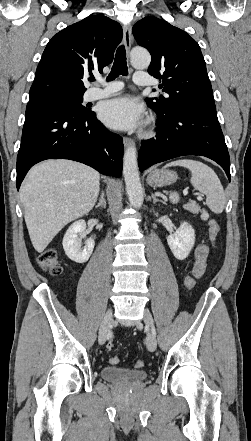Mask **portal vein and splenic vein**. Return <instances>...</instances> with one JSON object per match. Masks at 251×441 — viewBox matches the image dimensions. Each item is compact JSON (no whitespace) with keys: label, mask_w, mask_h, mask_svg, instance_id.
<instances>
[{"label":"portal vein and splenic vein","mask_w":251,"mask_h":441,"mask_svg":"<svg viewBox=\"0 0 251 441\" xmlns=\"http://www.w3.org/2000/svg\"><path fill=\"white\" fill-rule=\"evenodd\" d=\"M183 193H184V195H187V194H188V191L185 189V190L183 191ZM198 198H200V197H198Z\"/></svg>","instance_id":"1"}]
</instances>
